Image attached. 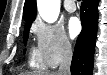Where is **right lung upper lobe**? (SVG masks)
<instances>
[{
	"label": "right lung upper lobe",
	"instance_id": "cb5924a9",
	"mask_svg": "<svg viewBox=\"0 0 107 75\" xmlns=\"http://www.w3.org/2000/svg\"><path fill=\"white\" fill-rule=\"evenodd\" d=\"M37 13L36 0H25L23 16L26 23H32Z\"/></svg>",
	"mask_w": 107,
	"mask_h": 75
}]
</instances>
